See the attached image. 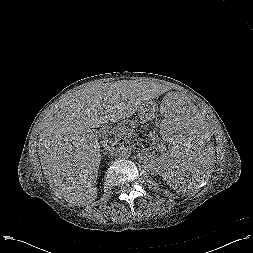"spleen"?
Masks as SVG:
<instances>
[{
    "instance_id": "3e777b00",
    "label": "spleen",
    "mask_w": 253,
    "mask_h": 253,
    "mask_svg": "<svg viewBox=\"0 0 253 253\" xmlns=\"http://www.w3.org/2000/svg\"><path fill=\"white\" fill-rule=\"evenodd\" d=\"M160 133L154 164L165 186L177 193L199 187L209 175L212 156L202 117L185 108L172 110L163 119Z\"/></svg>"
}]
</instances>
